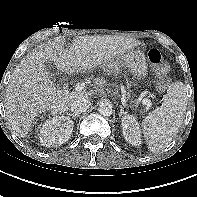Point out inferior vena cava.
I'll use <instances>...</instances> for the list:
<instances>
[{
    "instance_id": "1",
    "label": "inferior vena cava",
    "mask_w": 197,
    "mask_h": 197,
    "mask_svg": "<svg viewBox=\"0 0 197 197\" xmlns=\"http://www.w3.org/2000/svg\"><path fill=\"white\" fill-rule=\"evenodd\" d=\"M91 105L90 100L88 97L85 96H76L70 103L71 111L79 115L82 112L86 111Z\"/></svg>"
}]
</instances>
